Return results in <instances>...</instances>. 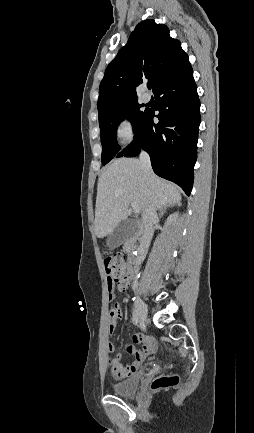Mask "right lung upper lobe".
I'll return each instance as SVG.
<instances>
[{"label": "right lung upper lobe", "mask_w": 254, "mask_h": 433, "mask_svg": "<svg viewBox=\"0 0 254 433\" xmlns=\"http://www.w3.org/2000/svg\"><path fill=\"white\" fill-rule=\"evenodd\" d=\"M187 58L166 25L152 19L140 22L105 71L98 113L137 101V88L144 82L152 84L154 93Z\"/></svg>", "instance_id": "obj_1"}]
</instances>
